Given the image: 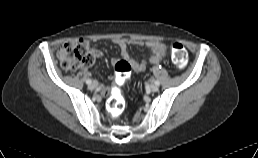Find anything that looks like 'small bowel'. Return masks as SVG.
I'll list each match as a JSON object with an SVG mask.
<instances>
[{
    "label": "small bowel",
    "mask_w": 258,
    "mask_h": 158,
    "mask_svg": "<svg viewBox=\"0 0 258 158\" xmlns=\"http://www.w3.org/2000/svg\"><path fill=\"white\" fill-rule=\"evenodd\" d=\"M113 43L120 49L121 56L123 60H126L131 65L133 72L139 73L146 69L147 62L146 61H138L136 59H132L129 57L128 47L130 45H137V46H144L150 51L149 62L152 64H159L163 62L166 57V46L163 42L156 41V40H149V41H141L135 39H126V38H117L113 40ZM93 54L96 57L102 56V51L98 48L92 49ZM118 60H113L115 64ZM99 91L102 95H108L109 90L105 88L103 85L99 86Z\"/></svg>",
    "instance_id": "c3829d8e"
}]
</instances>
